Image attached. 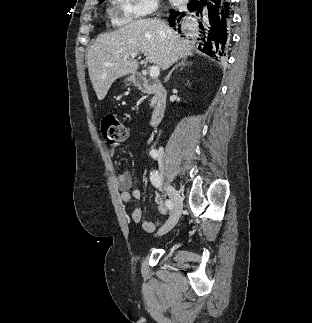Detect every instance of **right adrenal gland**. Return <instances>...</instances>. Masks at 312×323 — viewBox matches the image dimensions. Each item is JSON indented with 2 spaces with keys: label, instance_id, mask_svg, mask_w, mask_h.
I'll return each instance as SVG.
<instances>
[{
  "label": "right adrenal gland",
  "instance_id": "right-adrenal-gland-1",
  "mask_svg": "<svg viewBox=\"0 0 312 323\" xmlns=\"http://www.w3.org/2000/svg\"><path fill=\"white\" fill-rule=\"evenodd\" d=\"M187 60H188V58H182L181 62H179V64H176V66H174V68H172L171 72H169L167 78H165V82H167V80H169L172 72H174V70H176V68H178V66H188Z\"/></svg>",
  "mask_w": 312,
  "mask_h": 323
}]
</instances>
